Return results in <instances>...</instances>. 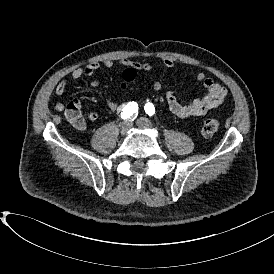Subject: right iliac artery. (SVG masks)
I'll return each mask as SVG.
<instances>
[{"mask_svg": "<svg viewBox=\"0 0 274 274\" xmlns=\"http://www.w3.org/2000/svg\"><path fill=\"white\" fill-rule=\"evenodd\" d=\"M138 115V105L136 102H129L126 107L122 109L121 118L133 121Z\"/></svg>", "mask_w": 274, "mask_h": 274, "instance_id": "obj_1", "label": "right iliac artery"}]
</instances>
